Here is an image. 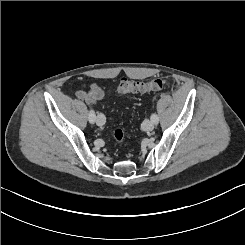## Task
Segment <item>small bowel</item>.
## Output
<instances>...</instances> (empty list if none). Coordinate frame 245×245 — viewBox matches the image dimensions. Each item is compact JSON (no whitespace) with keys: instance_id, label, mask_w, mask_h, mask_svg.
Instances as JSON below:
<instances>
[{"instance_id":"1","label":"small bowel","mask_w":245,"mask_h":245,"mask_svg":"<svg viewBox=\"0 0 245 245\" xmlns=\"http://www.w3.org/2000/svg\"><path fill=\"white\" fill-rule=\"evenodd\" d=\"M77 96L81 99H84L86 102L90 104H96L98 101L104 99L107 95L100 86L93 83L90 86H82L76 92Z\"/></svg>"}]
</instances>
